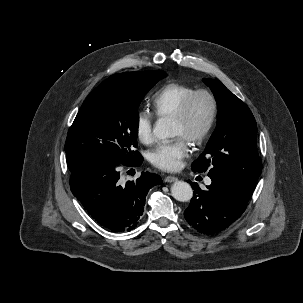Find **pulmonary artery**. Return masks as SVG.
Wrapping results in <instances>:
<instances>
[{
  "label": "pulmonary artery",
  "mask_w": 303,
  "mask_h": 303,
  "mask_svg": "<svg viewBox=\"0 0 303 303\" xmlns=\"http://www.w3.org/2000/svg\"><path fill=\"white\" fill-rule=\"evenodd\" d=\"M205 183H206L207 185H210V184H211V179H210V178H206Z\"/></svg>",
  "instance_id": "e3ab8cb5"
}]
</instances>
